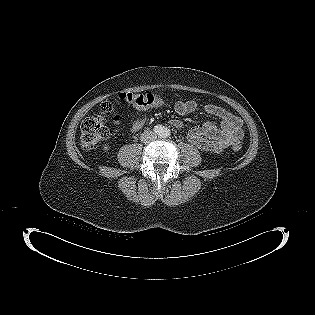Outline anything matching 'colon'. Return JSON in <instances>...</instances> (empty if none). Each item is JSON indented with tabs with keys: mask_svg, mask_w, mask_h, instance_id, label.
<instances>
[{
	"mask_svg": "<svg viewBox=\"0 0 315 315\" xmlns=\"http://www.w3.org/2000/svg\"><path fill=\"white\" fill-rule=\"evenodd\" d=\"M120 99L140 108L165 105L164 99L152 93H122L120 94ZM111 110L112 105L110 103H105L102 105V110L100 113L90 116L84 120L80 130V145L83 149H91L109 137L110 133L108 128V113L111 112ZM233 149L235 151H239L241 149V145H234Z\"/></svg>",
	"mask_w": 315,
	"mask_h": 315,
	"instance_id": "1",
	"label": "colon"
}]
</instances>
